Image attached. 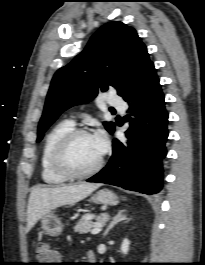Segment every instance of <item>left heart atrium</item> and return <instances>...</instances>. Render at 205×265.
Returning a JSON list of instances; mask_svg holds the SVG:
<instances>
[{"instance_id": "left-heart-atrium-1", "label": "left heart atrium", "mask_w": 205, "mask_h": 265, "mask_svg": "<svg viewBox=\"0 0 205 265\" xmlns=\"http://www.w3.org/2000/svg\"><path fill=\"white\" fill-rule=\"evenodd\" d=\"M95 144L99 153L102 155L107 149V139L103 132L99 131L94 136Z\"/></svg>"}]
</instances>
